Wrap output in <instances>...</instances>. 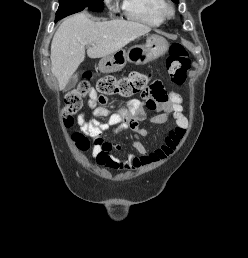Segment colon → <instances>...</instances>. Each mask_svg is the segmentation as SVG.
Returning a JSON list of instances; mask_svg holds the SVG:
<instances>
[{
	"label": "colon",
	"instance_id": "colon-1",
	"mask_svg": "<svg viewBox=\"0 0 248 258\" xmlns=\"http://www.w3.org/2000/svg\"><path fill=\"white\" fill-rule=\"evenodd\" d=\"M189 69L190 59L186 49L180 43L172 44L167 59V70L171 80L177 85L183 84ZM89 80L90 75L85 74L79 85L66 95L64 105L61 109L64 124H73V115L82 108L84 97L91 90ZM149 82V76L140 72H132L122 78L107 75L99 79L96 89L100 93V99L111 95L131 97L133 95H144L146 93L150 94L152 97L163 99L165 91L162 84L160 82H154L149 86ZM158 91L161 92V95L157 94ZM72 139L79 150L85 152L89 149L90 140L85 134L75 132L72 135Z\"/></svg>",
	"mask_w": 248,
	"mask_h": 258
}]
</instances>
